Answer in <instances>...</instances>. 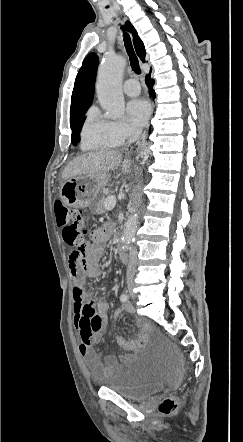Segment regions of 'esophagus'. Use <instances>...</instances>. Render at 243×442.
I'll list each match as a JSON object with an SVG mask.
<instances>
[{
  "instance_id": "34e87169",
  "label": "esophagus",
  "mask_w": 243,
  "mask_h": 442,
  "mask_svg": "<svg viewBox=\"0 0 243 442\" xmlns=\"http://www.w3.org/2000/svg\"><path fill=\"white\" fill-rule=\"evenodd\" d=\"M143 151H146L145 137L143 138V141L138 148V153H142Z\"/></svg>"
}]
</instances>
